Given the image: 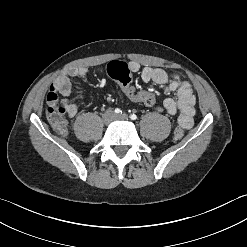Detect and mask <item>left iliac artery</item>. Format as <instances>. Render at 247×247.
<instances>
[{
	"mask_svg": "<svg viewBox=\"0 0 247 247\" xmlns=\"http://www.w3.org/2000/svg\"><path fill=\"white\" fill-rule=\"evenodd\" d=\"M130 119L131 120H136L137 119V115L136 114H131L130 115Z\"/></svg>",
	"mask_w": 247,
	"mask_h": 247,
	"instance_id": "44dca946",
	"label": "left iliac artery"
}]
</instances>
